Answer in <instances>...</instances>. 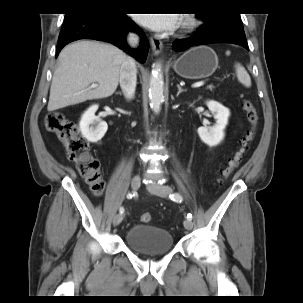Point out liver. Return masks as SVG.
Returning <instances> with one entry per match:
<instances>
[{"label": "liver", "instance_id": "1", "mask_svg": "<svg viewBox=\"0 0 303 303\" xmlns=\"http://www.w3.org/2000/svg\"><path fill=\"white\" fill-rule=\"evenodd\" d=\"M125 56L117 47L96 41H77L64 47L53 75L48 111L111 96ZM94 83L97 87H90Z\"/></svg>", "mask_w": 303, "mask_h": 303}]
</instances>
